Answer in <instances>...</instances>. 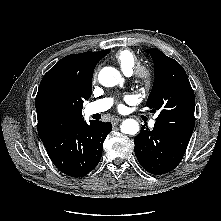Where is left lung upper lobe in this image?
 Segmentation results:
<instances>
[{"label": "left lung upper lobe", "mask_w": 221, "mask_h": 221, "mask_svg": "<svg viewBox=\"0 0 221 221\" xmlns=\"http://www.w3.org/2000/svg\"><path fill=\"white\" fill-rule=\"evenodd\" d=\"M155 81L146 106L158 111L156 123L161 128L183 135L194 129L195 96L183 67L160 50L151 48Z\"/></svg>", "instance_id": "1"}]
</instances>
